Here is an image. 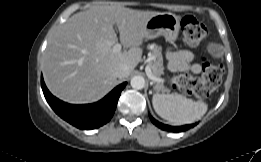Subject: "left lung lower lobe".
Returning a JSON list of instances; mask_svg holds the SVG:
<instances>
[{"instance_id": "1", "label": "left lung lower lobe", "mask_w": 261, "mask_h": 162, "mask_svg": "<svg viewBox=\"0 0 261 162\" xmlns=\"http://www.w3.org/2000/svg\"><path fill=\"white\" fill-rule=\"evenodd\" d=\"M149 117L152 123L155 124L157 127L161 128L162 130L170 131V132H181L195 126V124L184 125V126H169L158 122L150 114Z\"/></svg>"}]
</instances>
